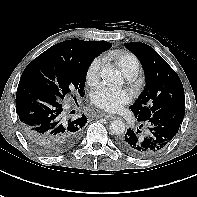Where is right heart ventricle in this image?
Segmentation results:
<instances>
[{
	"mask_svg": "<svg viewBox=\"0 0 197 197\" xmlns=\"http://www.w3.org/2000/svg\"><path fill=\"white\" fill-rule=\"evenodd\" d=\"M112 57L125 76L131 78L139 73L141 64L134 54L126 51H117L112 54Z\"/></svg>",
	"mask_w": 197,
	"mask_h": 197,
	"instance_id": "e07e8e85",
	"label": "right heart ventricle"
}]
</instances>
